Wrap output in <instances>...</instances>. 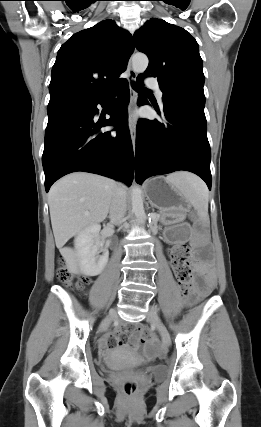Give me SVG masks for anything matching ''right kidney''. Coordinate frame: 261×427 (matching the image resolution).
Here are the masks:
<instances>
[{"label": "right kidney", "instance_id": "obj_1", "mask_svg": "<svg viewBox=\"0 0 261 427\" xmlns=\"http://www.w3.org/2000/svg\"><path fill=\"white\" fill-rule=\"evenodd\" d=\"M100 229L99 224L93 225L81 231L75 238L80 270L88 276L99 275L108 262L109 251L104 248V240H100Z\"/></svg>", "mask_w": 261, "mask_h": 427}]
</instances>
